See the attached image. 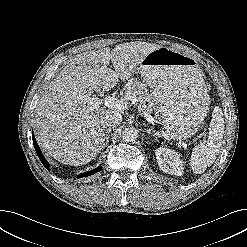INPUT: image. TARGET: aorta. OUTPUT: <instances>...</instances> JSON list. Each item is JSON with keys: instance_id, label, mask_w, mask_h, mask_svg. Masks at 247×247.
Returning a JSON list of instances; mask_svg holds the SVG:
<instances>
[{"instance_id": "aorta-1", "label": "aorta", "mask_w": 247, "mask_h": 247, "mask_svg": "<svg viewBox=\"0 0 247 247\" xmlns=\"http://www.w3.org/2000/svg\"><path fill=\"white\" fill-rule=\"evenodd\" d=\"M122 138L126 142H133L138 138V132L134 128H127L123 131Z\"/></svg>"}]
</instances>
